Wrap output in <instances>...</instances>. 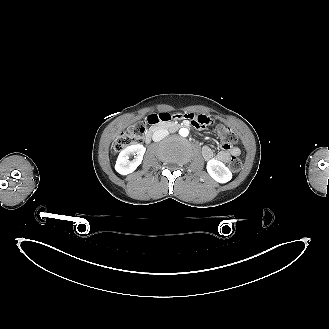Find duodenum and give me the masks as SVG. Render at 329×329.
I'll use <instances>...</instances> for the list:
<instances>
[{
	"label": "duodenum",
	"instance_id": "410a0bca",
	"mask_svg": "<svg viewBox=\"0 0 329 329\" xmlns=\"http://www.w3.org/2000/svg\"><path fill=\"white\" fill-rule=\"evenodd\" d=\"M150 128L145 134V142L150 143L152 135L155 131L161 128L177 129L181 125L170 121L168 118H164L163 114H153L149 117Z\"/></svg>",
	"mask_w": 329,
	"mask_h": 329
}]
</instances>
